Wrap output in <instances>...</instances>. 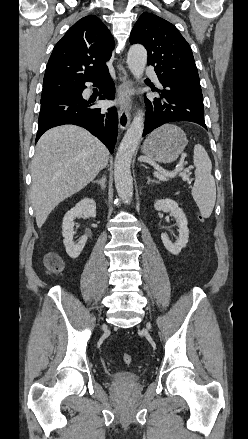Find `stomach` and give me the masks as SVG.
Masks as SVG:
<instances>
[{
  "instance_id": "1",
  "label": "stomach",
  "mask_w": 248,
  "mask_h": 439,
  "mask_svg": "<svg viewBox=\"0 0 248 439\" xmlns=\"http://www.w3.org/2000/svg\"><path fill=\"white\" fill-rule=\"evenodd\" d=\"M187 143L186 134L181 128L166 124L145 139L142 153L159 163H171L183 152Z\"/></svg>"
}]
</instances>
